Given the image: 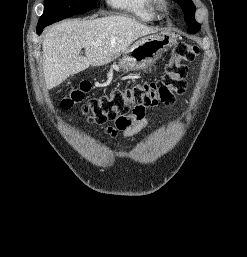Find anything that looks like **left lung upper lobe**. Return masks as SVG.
Returning <instances> with one entry per match:
<instances>
[{"mask_svg":"<svg viewBox=\"0 0 247 257\" xmlns=\"http://www.w3.org/2000/svg\"><path fill=\"white\" fill-rule=\"evenodd\" d=\"M182 8L186 24L188 26L189 33H196L200 29V24L195 20L196 7L192 0H174Z\"/></svg>","mask_w":247,"mask_h":257,"instance_id":"left-lung-upper-lobe-1","label":"left lung upper lobe"}]
</instances>
